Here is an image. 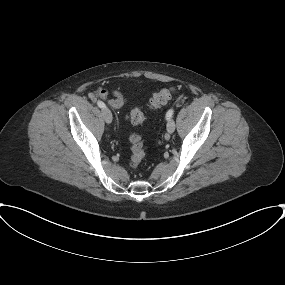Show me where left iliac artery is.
<instances>
[{"label": "left iliac artery", "instance_id": "44dca946", "mask_svg": "<svg viewBox=\"0 0 285 285\" xmlns=\"http://www.w3.org/2000/svg\"><path fill=\"white\" fill-rule=\"evenodd\" d=\"M173 113L174 109L168 110V112L166 113V119L169 120L172 117Z\"/></svg>", "mask_w": 285, "mask_h": 285}]
</instances>
